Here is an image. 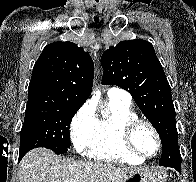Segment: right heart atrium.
<instances>
[{
  "instance_id": "right-heart-atrium-1",
  "label": "right heart atrium",
  "mask_w": 196,
  "mask_h": 182,
  "mask_svg": "<svg viewBox=\"0 0 196 182\" xmlns=\"http://www.w3.org/2000/svg\"><path fill=\"white\" fill-rule=\"evenodd\" d=\"M96 121L95 110L90 103L83 105L74 115L70 134L77 152L84 153L88 150L93 139Z\"/></svg>"
}]
</instances>
